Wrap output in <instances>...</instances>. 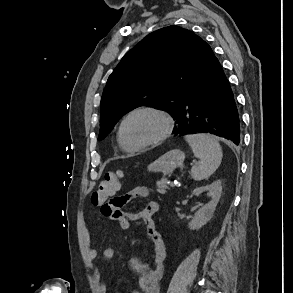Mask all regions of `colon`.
<instances>
[{
  "label": "colon",
  "mask_w": 293,
  "mask_h": 293,
  "mask_svg": "<svg viewBox=\"0 0 293 293\" xmlns=\"http://www.w3.org/2000/svg\"><path fill=\"white\" fill-rule=\"evenodd\" d=\"M123 174L121 171H111L105 174L92 193L91 202L94 206L100 207L107 203H115L113 195L122 186Z\"/></svg>",
  "instance_id": "obj_1"
}]
</instances>
